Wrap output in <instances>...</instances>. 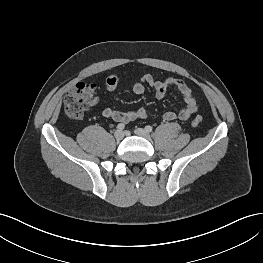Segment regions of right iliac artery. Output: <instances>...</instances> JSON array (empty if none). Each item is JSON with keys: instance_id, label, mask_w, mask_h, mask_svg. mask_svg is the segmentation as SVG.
I'll return each instance as SVG.
<instances>
[{"instance_id": "1", "label": "right iliac artery", "mask_w": 263, "mask_h": 263, "mask_svg": "<svg viewBox=\"0 0 263 263\" xmlns=\"http://www.w3.org/2000/svg\"><path fill=\"white\" fill-rule=\"evenodd\" d=\"M125 128V125L123 124V123H119L118 125H117V129L118 130H123Z\"/></svg>"}]
</instances>
